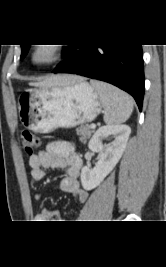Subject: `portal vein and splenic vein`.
<instances>
[{"instance_id":"1","label":"portal vein and splenic vein","mask_w":166,"mask_h":267,"mask_svg":"<svg viewBox=\"0 0 166 267\" xmlns=\"http://www.w3.org/2000/svg\"><path fill=\"white\" fill-rule=\"evenodd\" d=\"M95 127H96L95 124H91V125H90V128H92V129H95Z\"/></svg>"}]
</instances>
